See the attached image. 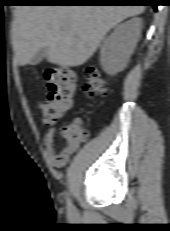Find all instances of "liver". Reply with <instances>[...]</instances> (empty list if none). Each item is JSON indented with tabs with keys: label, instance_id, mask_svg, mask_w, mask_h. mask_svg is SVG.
<instances>
[{
	"label": "liver",
	"instance_id": "1",
	"mask_svg": "<svg viewBox=\"0 0 170 231\" xmlns=\"http://www.w3.org/2000/svg\"><path fill=\"white\" fill-rule=\"evenodd\" d=\"M144 10L140 5L17 7L12 31L17 62L31 64L46 47L48 62L80 66L93 56L111 28Z\"/></svg>",
	"mask_w": 170,
	"mask_h": 231
}]
</instances>
